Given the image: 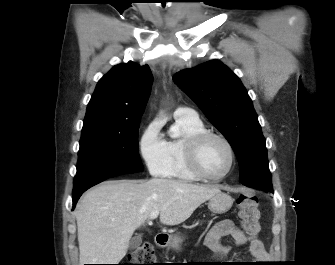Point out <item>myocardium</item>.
I'll return each mask as SVG.
<instances>
[{
	"mask_svg": "<svg viewBox=\"0 0 335 265\" xmlns=\"http://www.w3.org/2000/svg\"><path fill=\"white\" fill-rule=\"evenodd\" d=\"M209 139H217L221 141L228 149L230 160L227 169L219 176H210L207 173L204 172L200 165V151L203 147V145L209 140ZM185 153H186V162L191 170V172L197 176L199 179L210 181V182H218L223 180L225 177H227L230 172L232 171L235 160H236V154L233 145L231 142L223 135L213 132V131H203L198 134H195L191 136L185 146Z\"/></svg>",
	"mask_w": 335,
	"mask_h": 265,
	"instance_id": "1",
	"label": "myocardium"
}]
</instances>
